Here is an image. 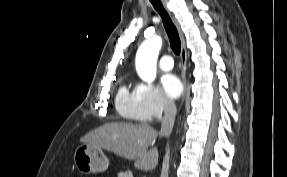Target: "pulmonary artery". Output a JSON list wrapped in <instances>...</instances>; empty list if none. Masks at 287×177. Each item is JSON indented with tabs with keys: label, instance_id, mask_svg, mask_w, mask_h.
Returning <instances> with one entry per match:
<instances>
[{
	"label": "pulmonary artery",
	"instance_id": "e3ab8cb5",
	"mask_svg": "<svg viewBox=\"0 0 287 177\" xmlns=\"http://www.w3.org/2000/svg\"><path fill=\"white\" fill-rule=\"evenodd\" d=\"M159 66L161 69L163 70H170L173 68V58L166 54V55H163L159 61Z\"/></svg>",
	"mask_w": 287,
	"mask_h": 177
}]
</instances>
